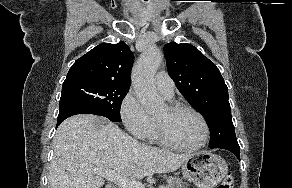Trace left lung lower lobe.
Segmentation results:
<instances>
[{
  "label": "left lung lower lobe",
  "instance_id": "0a47b994",
  "mask_svg": "<svg viewBox=\"0 0 292 188\" xmlns=\"http://www.w3.org/2000/svg\"><path fill=\"white\" fill-rule=\"evenodd\" d=\"M214 148H221L231 151L240 160V147L237 140L222 143Z\"/></svg>",
  "mask_w": 292,
  "mask_h": 188
}]
</instances>
